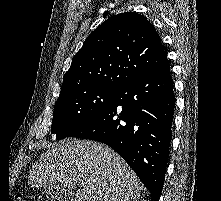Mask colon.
I'll use <instances>...</instances> for the list:
<instances>
[{
  "label": "colon",
  "mask_w": 221,
  "mask_h": 201,
  "mask_svg": "<svg viewBox=\"0 0 221 201\" xmlns=\"http://www.w3.org/2000/svg\"><path fill=\"white\" fill-rule=\"evenodd\" d=\"M13 201H29V200L24 195H18L13 199Z\"/></svg>",
  "instance_id": "obj_1"
}]
</instances>
